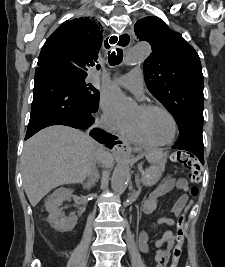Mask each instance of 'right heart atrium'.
<instances>
[{
	"label": "right heart atrium",
	"mask_w": 225,
	"mask_h": 267,
	"mask_svg": "<svg viewBox=\"0 0 225 267\" xmlns=\"http://www.w3.org/2000/svg\"><path fill=\"white\" fill-rule=\"evenodd\" d=\"M100 109L103 125L110 131L123 136L128 130L130 122L122 118L112 103L106 98L101 99Z\"/></svg>",
	"instance_id": "d8ad5b80"
}]
</instances>
